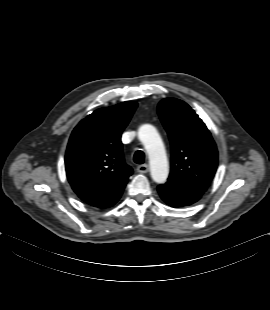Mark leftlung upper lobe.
Returning <instances> with one entry per match:
<instances>
[{
	"instance_id": "left-lung-upper-lobe-1",
	"label": "left lung upper lobe",
	"mask_w": 270,
	"mask_h": 310,
	"mask_svg": "<svg viewBox=\"0 0 270 310\" xmlns=\"http://www.w3.org/2000/svg\"><path fill=\"white\" fill-rule=\"evenodd\" d=\"M158 114L171 143L168 181L206 190L218 166V152L205 123L189 105L174 98L163 99Z\"/></svg>"
}]
</instances>
